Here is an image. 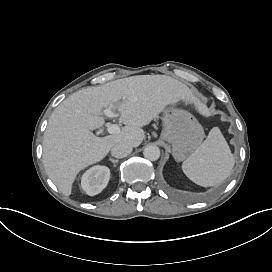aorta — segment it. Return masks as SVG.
Wrapping results in <instances>:
<instances>
[{
    "instance_id": "1",
    "label": "aorta",
    "mask_w": 272,
    "mask_h": 272,
    "mask_svg": "<svg viewBox=\"0 0 272 272\" xmlns=\"http://www.w3.org/2000/svg\"><path fill=\"white\" fill-rule=\"evenodd\" d=\"M143 155L150 161H156L160 157V149L157 146L150 145L144 149Z\"/></svg>"
}]
</instances>
